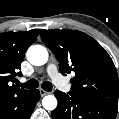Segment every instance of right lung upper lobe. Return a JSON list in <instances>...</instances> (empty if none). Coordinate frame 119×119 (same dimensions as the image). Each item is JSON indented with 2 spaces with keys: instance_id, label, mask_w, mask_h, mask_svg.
Masks as SVG:
<instances>
[{
  "instance_id": "obj_1",
  "label": "right lung upper lobe",
  "mask_w": 119,
  "mask_h": 119,
  "mask_svg": "<svg viewBox=\"0 0 119 119\" xmlns=\"http://www.w3.org/2000/svg\"><path fill=\"white\" fill-rule=\"evenodd\" d=\"M38 33V29H33L0 34V98L25 91L11 82L16 75H22L18 70L27 48L35 42Z\"/></svg>"
}]
</instances>
